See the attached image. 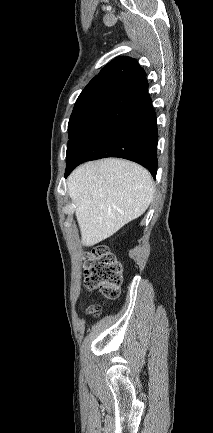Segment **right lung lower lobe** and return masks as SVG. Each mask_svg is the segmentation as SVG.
Instances as JSON below:
<instances>
[{
	"instance_id": "obj_1",
	"label": "right lung lower lobe",
	"mask_w": 213,
	"mask_h": 433,
	"mask_svg": "<svg viewBox=\"0 0 213 433\" xmlns=\"http://www.w3.org/2000/svg\"><path fill=\"white\" fill-rule=\"evenodd\" d=\"M157 141L156 114L144 77L119 93L88 123L67 151L65 177L85 161L119 157L143 165L155 178Z\"/></svg>"
}]
</instances>
